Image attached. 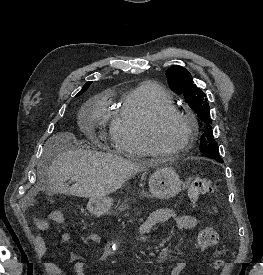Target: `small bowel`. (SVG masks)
I'll return each instance as SVG.
<instances>
[{
  "mask_svg": "<svg viewBox=\"0 0 263 275\" xmlns=\"http://www.w3.org/2000/svg\"><path fill=\"white\" fill-rule=\"evenodd\" d=\"M167 221H174L177 228L181 230L192 229L198 223V219L194 215L180 214L175 210L169 208L157 209L152 212L147 220L140 225L138 229L137 239L140 241H147L149 234L158 229L163 223ZM35 224L40 230L45 231L49 229V225L45 221H36ZM61 240L63 243L69 244L72 240V237L70 233L65 232L61 235ZM86 240L96 245L101 244V237L97 233L88 234L86 236ZM35 241L38 256L41 258L46 252L45 241L41 236H36ZM118 245V242H110L106 244L103 248L101 260H107L109 257H111L118 248ZM162 256L167 257L170 256V254L167 251H164L162 253ZM71 261L73 263L75 275H88L84 262L78 260L75 256L71 257ZM43 266L45 271L49 275H67L66 271L61 266L53 262H44ZM185 267V262L178 259L176 265L171 271V275H181Z\"/></svg>",
  "mask_w": 263,
  "mask_h": 275,
  "instance_id": "obj_1",
  "label": "small bowel"
}]
</instances>
